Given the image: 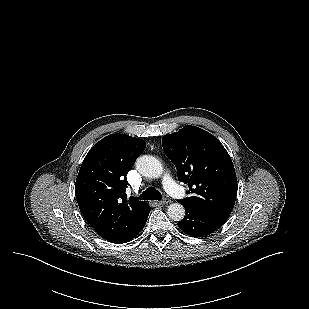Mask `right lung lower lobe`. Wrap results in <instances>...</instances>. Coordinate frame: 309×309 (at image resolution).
Instances as JSON below:
<instances>
[{"instance_id":"1","label":"right lung lower lobe","mask_w":309,"mask_h":309,"mask_svg":"<svg viewBox=\"0 0 309 309\" xmlns=\"http://www.w3.org/2000/svg\"><path fill=\"white\" fill-rule=\"evenodd\" d=\"M150 211H151V207L149 206L143 220L132 231H130L129 233H127V234H125V235H123L119 238L111 239V240H108V241L111 242V243H116V244H119V243L122 244V243H126V242L131 241L143 229Z\"/></svg>"}]
</instances>
